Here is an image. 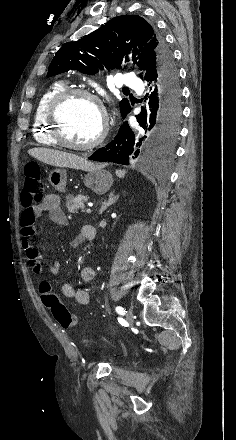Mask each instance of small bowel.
I'll return each mask as SVG.
<instances>
[{
    "label": "small bowel",
    "mask_w": 236,
    "mask_h": 440,
    "mask_svg": "<svg viewBox=\"0 0 236 440\" xmlns=\"http://www.w3.org/2000/svg\"><path fill=\"white\" fill-rule=\"evenodd\" d=\"M48 213L52 222L59 226H65L67 224V218L61 207V199L56 194H49L38 205L25 208L21 214L20 227H21V246L29 260L30 266L34 273L41 274L44 271L42 265V258L40 252L35 248L33 244V238L37 232L36 219L42 215V213ZM96 236V231L92 226L86 225L81 228L80 234L73 242L74 247H78L85 240H93ZM59 262H54L49 267V272L57 274L59 272ZM81 280L89 284L93 282L95 278V272L90 267L82 268L80 272ZM62 294L70 299H73L80 305H86L90 301L89 292L85 289L76 288L72 283L65 282L61 287ZM41 301L45 308L49 309L48 305L44 301V296L41 294Z\"/></svg>",
    "instance_id": "obj_1"
}]
</instances>
